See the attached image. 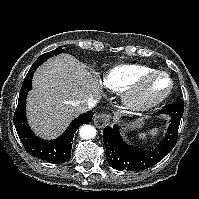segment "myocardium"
<instances>
[{
  "mask_svg": "<svg viewBox=\"0 0 199 199\" xmlns=\"http://www.w3.org/2000/svg\"><path fill=\"white\" fill-rule=\"evenodd\" d=\"M158 77H164L169 81L167 90L159 95H152L149 92L150 83ZM174 89V80L172 77L160 70H155L143 76L138 83L131 88L127 96L128 105L135 110H148L165 101Z\"/></svg>",
  "mask_w": 199,
  "mask_h": 199,
  "instance_id": "myocardium-1",
  "label": "myocardium"
}]
</instances>
